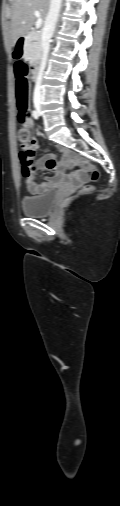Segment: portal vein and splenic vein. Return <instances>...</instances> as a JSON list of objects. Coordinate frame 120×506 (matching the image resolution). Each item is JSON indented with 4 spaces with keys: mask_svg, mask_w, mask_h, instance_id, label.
Listing matches in <instances>:
<instances>
[{
    "mask_svg": "<svg viewBox=\"0 0 120 506\" xmlns=\"http://www.w3.org/2000/svg\"><path fill=\"white\" fill-rule=\"evenodd\" d=\"M34 14L38 18L37 21L35 22V27H36V29H39L42 26V22H43L42 18H41V13L38 10H36L34 12Z\"/></svg>",
    "mask_w": 120,
    "mask_h": 506,
    "instance_id": "1",
    "label": "portal vein and splenic vein"
}]
</instances>
